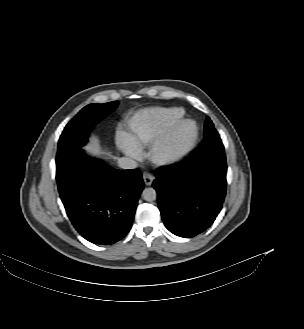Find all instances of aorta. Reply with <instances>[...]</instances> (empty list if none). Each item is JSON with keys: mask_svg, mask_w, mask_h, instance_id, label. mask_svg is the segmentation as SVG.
<instances>
[{"mask_svg": "<svg viewBox=\"0 0 304 329\" xmlns=\"http://www.w3.org/2000/svg\"><path fill=\"white\" fill-rule=\"evenodd\" d=\"M156 196V191L153 188H145L142 192L143 199L148 202L154 201Z\"/></svg>", "mask_w": 304, "mask_h": 329, "instance_id": "obj_1", "label": "aorta"}]
</instances>
